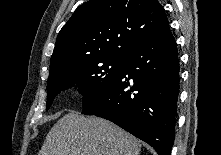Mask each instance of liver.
Listing matches in <instances>:
<instances>
[{
	"label": "liver",
	"mask_w": 221,
	"mask_h": 155,
	"mask_svg": "<svg viewBox=\"0 0 221 155\" xmlns=\"http://www.w3.org/2000/svg\"><path fill=\"white\" fill-rule=\"evenodd\" d=\"M140 142L115 124L69 112L46 136L38 155H139Z\"/></svg>",
	"instance_id": "6515ba94"
}]
</instances>
